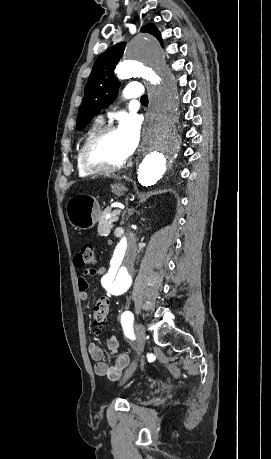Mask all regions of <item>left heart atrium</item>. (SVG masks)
Listing matches in <instances>:
<instances>
[{
  "instance_id": "39dd6f15",
  "label": "left heart atrium",
  "mask_w": 271,
  "mask_h": 459,
  "mask_svg": "<svg viewBox=\"0 0 271 459\" xmlns=\"http://www.w3.org/2000/svg\"><path fill=\"white\" fill-rule=\"evenodd\" d=\"M118 131L125 140L129 152L132 153L140 142L142 119L137 115H125L119 122Z\"/></svg>"
}]
</instances>
